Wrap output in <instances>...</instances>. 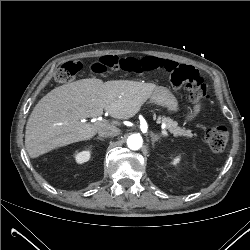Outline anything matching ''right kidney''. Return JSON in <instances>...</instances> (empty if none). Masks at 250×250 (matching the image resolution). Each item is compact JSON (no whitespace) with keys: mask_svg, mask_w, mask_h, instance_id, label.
<instances>
[{"mask_svg":"<svg viewBox=\"0 0 250 250\" xmlns=\"http://www.w3.org/2000/svg\"><path fill=\"white\" fill-rule=\"evenodd\" d=\"M90 151H82L75 155V160L77 163L82 164L87 162L90 159Z\"/></svg>","mask_w":250,"mask_h":250,"instance_id":"1","label":"right kidney"}]
</instances>
